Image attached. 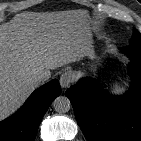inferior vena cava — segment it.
<instances>
[{"instance_id":"602c4592","label":"inferior vena cava","mask_w":141,"mask_h":141,"mask_svg":"<svg viewBox=\"0 0 141 141\" xmlns=\"http://www.w3.org/2000/svg\"><path fill=\"white\" fill-rule=\"evenodd\" d=\"M34 76L39 81H46L50 78L51 73L49 71L40 69L35 72Z\"/></svg>"}]
</instances>
